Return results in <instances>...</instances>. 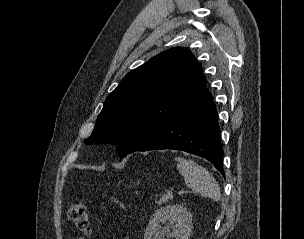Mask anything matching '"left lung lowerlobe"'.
<instances>
[{
	"label": "left lung lower lobe",
	"mask_w": 304,
	"mask_h": 239,
	"mask_svg": "<svg viewBox=\"0 0 304 239\" xmlns=\"http://www.w3.org/2000/svg\"><path fill=\"white\" fill-rule=\"evenodd\" d=\"M174 149L209 160L224 176L217 111L205 88L134 151Z\"/></svg>",
	"instance_id": "obj_1"
}]
</instances>
